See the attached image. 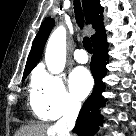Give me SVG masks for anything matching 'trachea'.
<instances>
[{
    "label": "trachea",
    "mask_w": 136,
    "mask_h": 136,
    "mask_svg": "<svg viewBox=\"0 0 136 136\" xmlns=\"http://www.w3.org/2000/svg\"><path fill=\"white\" fill-rule=\"evenodd\" d=\"M74 11H75V18L78 26L80 28H83L84 26V18H83V12L80 5V0H74ZM83 45L84 48L89 52L92 53V44L89 39V37H84L83 39Z\"/></svg>",
    "instance_id": "1"
}]
</instances>
